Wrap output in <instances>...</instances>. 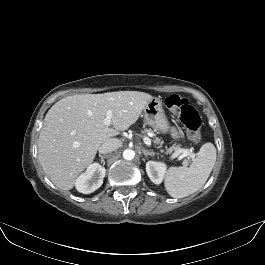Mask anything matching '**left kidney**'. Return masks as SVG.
<instances>
[{
	"label": "left kidney",
	"instance_id": "5707ae66",
	"mask_svg": "<svg viewBox=\"0 0 265 265\" xmlns=\"http://www.w3.org/2000/svg\"><path fill=\"white\" fill-rule=\"evenodd\" d=\"M146 172L153 183L161 184L166 173V164L163 162L148 161L146 163Z\"/></svg>",
	"mask_w": 265,
	"mask_h": 265
}]
</instances>
